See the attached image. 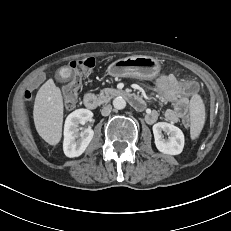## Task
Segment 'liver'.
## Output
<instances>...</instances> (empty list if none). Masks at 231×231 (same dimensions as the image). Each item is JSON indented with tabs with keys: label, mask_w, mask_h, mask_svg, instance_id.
I'll use <instances>...</instances> for the list:
<instances>
[{
	"label": "liver",
	"mask_w": 231,
	"mask_h": 231,
	"mask_svg": "<svg viewBox=\"0 0 231 231\" xmlns=\"http://www.w3.org/2000/svg\"><path fill=\"white\" fill-rule=\"evenodd\" d=\"M63 111L61 90L49 79L37 92L33 118L40 137L52 146L57 145L62 137Z\"/></svg>",
	"instance_id": "6515ba94"
}]
</instances>
